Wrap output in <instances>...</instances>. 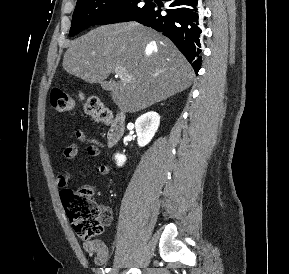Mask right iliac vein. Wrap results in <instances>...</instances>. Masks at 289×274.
<instances>
[{"mask_svg":"<svg viewBox=\"0 0 289 274\" xmlns=\"http://www.w3.org/2000/svg\"><path fill=\"white\" fill-rule=\"evenodd\" d=\"M110 274H118V269H117V268H113V269L110 271Z\"/></svg>","mask_w":289,"mask_h":274,"instance_id":"63e3f726","label":"right iliac vein"}]
</instances>
